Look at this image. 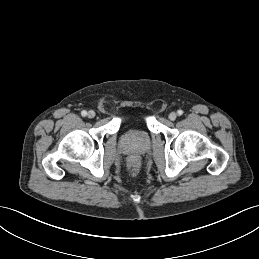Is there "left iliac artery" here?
<instances>
[{
	"label": "left iliac artery",
	"mask_w": 259,
	"mask_h": 259,
	"mask_svg": "<svg viewBox=\"0 0 259 259\" xmlns=\"http://www.w3.org/2000/svg\"><path fill=\"white\" fill-rule=\"evenodd\" d=\"M177 114H178L179 116H181V115L183 114V111H182V110H178V111H177Z\"/></svg>",
	"instance_id": "left-iliac-artery-1"
}]
</instances>
